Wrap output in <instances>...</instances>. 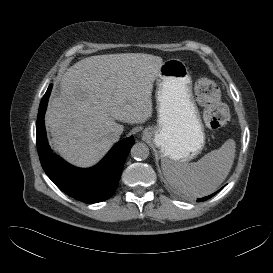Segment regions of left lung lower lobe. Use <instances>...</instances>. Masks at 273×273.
<instances>
[{"instance_id": "left-lung-lower-lobe-1", "label": "left lung lower lobe", "mask_w": 273, "mask_h": 273, "mask_svg": "<svg viewBox=\"0 0 273 273\" xmlns=\"http://www.w3.org/2000/svg\"><path fill=\"white\" fill-rule=\"evenodd\" d=\"M215 194H216V193H214V194H212V195H209V196H206V197H204V198H202V199H198L197 201H198V202H200V201H205V200L211 198L212 196H214Z\"/></svg>"}]
</instances>
